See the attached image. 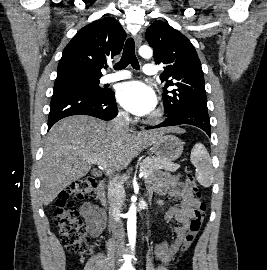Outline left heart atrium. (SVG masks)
<instances>
[{
  "label": "left heart atrium",
  "mask_w": 267,
  "mask_h": 270,
  "mask_svg": "<svg viewBox=\"0 0 267 270\" xmlns=\"http://www.w3.org/2000/svg\"><path fill=\"white\" fill-rule=\"evenodd\" d=\"M116 97L124 109L140 116L150 114L157 103L153 90L141 81L120 84L117 88Z\"/></svg>",
  "instance_id": "left-heart-atrium-1"
}]
</instances>
